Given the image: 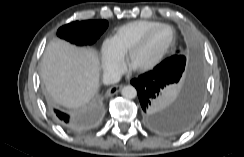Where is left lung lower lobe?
Masks as SVG:
<instances>
[{"mask_svg":"<svg viewBox=\"0 0 244 157\" xmlns=\"http://www.w3.org/2000/svg\"><path fill=\"white\" fill-rule=\"evenodd\" d=\"M131 84L137 89L146 124L159 133L186 131L200 112L204 79L198 66L186 64L177 73L153 69L133 79ZM176 84H182L179 97L176 100L166 99Z\"/></svg>","mask_w":244,"mask_h":157,"instance_id":"0a47b994","label":"left lung lower lobe"}]
</instances>
